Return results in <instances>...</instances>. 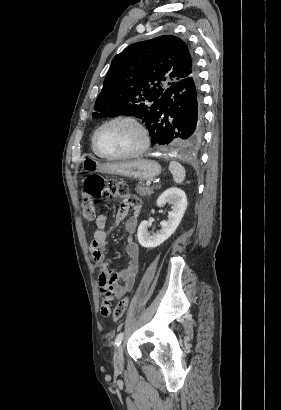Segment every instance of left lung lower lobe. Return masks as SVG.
<instances>
[{
    "instance_id": "left-lung-lower-lobe-1",
    "label": "left lung lower lobe",
    "mask_w": 281,
    "mask_h": 410,
    "mask_svg": "<svg viewBox=\"0 0 281 410\" xmlns=\"http://www.w3.org/2000/svg\"><path fill=\"white\" fill-rule=\"evenodd\" d=\"M143 122L152 145L174 140L182 148L198 146L203 136V112L197 73L169 86Z\"/></svg>"
}]
</instances>
